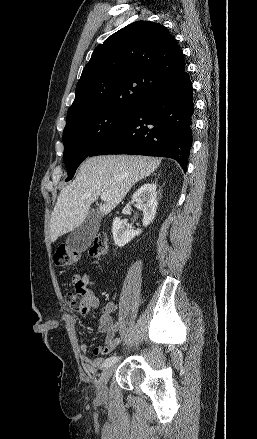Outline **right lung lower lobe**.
Wrapping results in <instances>:
<instances>
[{
    "instance_id": "1",
    "label": "right lung lower lobe",
    "mask_w": 257,
    "mask_h": 439,
    "mask_svg": "<svg viewBox=\"0 0 257 439\" xmlns=\"http://www.w3.org/2000/svg\"><path fill=\"white\" fill-rule=\"evenodd\" d=\"M192 82L187 72L160 87L89 156L137 154L175 159L186 172L192 145Z\"/></svg>"
}]
</instances>
